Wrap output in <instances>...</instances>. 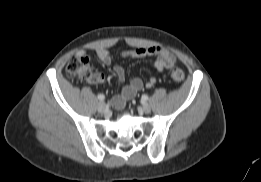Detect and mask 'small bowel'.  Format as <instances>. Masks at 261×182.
Instances as JSON below:
<instances>
[{
	"instance_id": "obj_1",
	"label": "small bowel",
	"mask_w": 261,
	"mask_h": 182,
	"mask_svg": "<svg viewBox=\"0 0 261 182\" xmlns=\"http://www.w3.org/2000/svg\"><path fill=\"white\" fill-rule=\"evenodd\" d=\"M78 56H85V51H79L77 53ZM96 55L98 59L104 65H111L113 62V55L104 48H98L96 50ZM120 58H132L139 59L144 57H155L154 66L158 72H163L172 68L176 63L175 56L164 47H138L131 51H120L117 54ZM115 79L118 83H122L125 80V70L120 65H114L113 67ZM105 77L101 73H96L90 79L91 82L100 84L104 81ZM156 83V77L151 76L144 83L143 80L139 77L133 78L128 85H126L120 94L115 95L112 98V104L120 109L124 106L126 100L135 96L145 85L150 88Z\"/></svg>"
}]
</instances>
